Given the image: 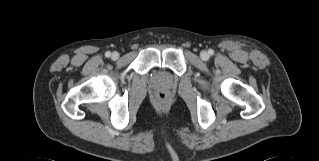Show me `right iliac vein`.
<instances>
[{
	"mask_svg": "<svg viewBox=\"0 0 319 161\" xmlns=\"http://www.w3.org/2000/svg\"><path fill=\"white\" fill-rule=\"evenodd\" d=\"M111 57H112L113 60H117L119 58V53L118 52H113Z\"/></svg>",
	"mask_w": 319,
	"mask_h": 161,
	"instance_id": "obj_1",
	"label": "right iliac vein"
}]
</instances>
